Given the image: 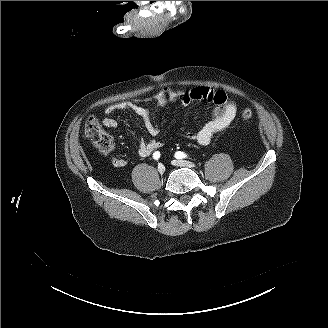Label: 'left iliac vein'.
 Masks as SVG:
<instances>
[{"mask_svg":"<svg viewBox=\"0 0 328 328\" xmlns=\"http://www.w3.org/2000/svg\"><path fill=\"white\" fill-rule=\"evenodd\" d=\"M173 165L178 166V167H194L195 164L193 162L190 161H186V160H174Z\"/></svg>","mask_w":328,"mask_h":328,"instance_id":"4c4485c4","label":"left iliac vein"}]
</instances>
